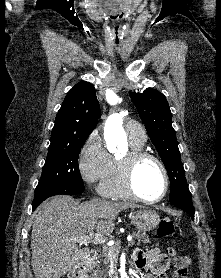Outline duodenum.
Listing matches in <instances>:
<instances>
[{
	"label": "duodenum",
	"instance_id": "1",
	"mask_svg": "<svg viewBox=\"0 0 221 278\" xmlns=\"http://www.w3.org/2000/svg\"><path fill=\"white\" fill-rule=\"evenodd\" d=\"M96 256L97 251L95 249H90L88 251L87 257L75 265L69 272L68 278H85L86 270L96 259Z\"/></svg>",
	"mask_w": 221,
	"mask_h": 278
}]
</instances>
